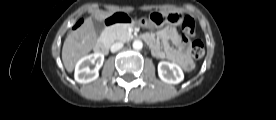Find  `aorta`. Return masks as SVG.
I'll return each mask as SVG.
<instances>
[{
  "mask_svg": "<svg viewBox=\"0 0 276 120\" xmlns=\"http://www.w3.org/2000/svg\"><path fill=\"white\" fill-rule=\"evenodd\" d=\"M142 47H143L142 41H140V40H135V41L133 42V48H134L135 50H141Z\"/></svg>",
  "mask_w": 276,
  "mask_h": 120,
  "instance_id": "aorta-1",
  "label": "aorta"
}]
</instances>
